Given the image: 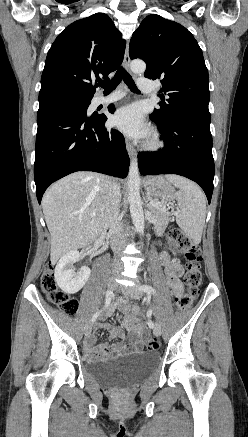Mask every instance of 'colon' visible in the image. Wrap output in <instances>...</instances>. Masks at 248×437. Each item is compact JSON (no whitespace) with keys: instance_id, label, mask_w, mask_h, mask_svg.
I'll use <instances>...</instances> for the list:
<instances>
[{"instance_id":"colon-1","label":"colon","mask_w":248,"mask_h":437,"mask_svg":"<svg viewBox=\"0 0 248 437\" xmlns=\"http://www.w3.org/2000/svg\"><path fill=\"white\" fill-rule=\"evenodd\" d=\"M171 238L174 245L182 251L187 266V274L184 279L186 292L175 297L178 309L184 311L190 307L193 300L200 293V286L203 280L200 270L202 256L199 246L179 232L173 233ZM41 288L50 302L56 305L63 313L73 315L77 311V300L59 289L54 278V268L51 264L47 265L43 270ZM147 347L151 351L158 350L160 342L157 338L152 337L148 340Z\"/></svg>"}]
</instances>
